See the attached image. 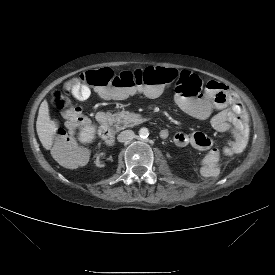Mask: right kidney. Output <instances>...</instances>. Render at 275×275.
I'll use <instances>...</instances> for the list:
<instances>
[{
  "label": "right kidney",
  "instance_id": "obj_1",
  "mask_svg": "<svg viewBox=\"0 0 275 275\" xmlns=\"http://www.w3.org/2000/svg\"><path fill=\"white\" fill-rule=\"evenodd\" d=\"M94 163L101 170L106 169L108 166L107 158H106L105 154L101 153V152L96 154Z\"/></svg>",
  "mask_w": 275,
  "mask_h": 275
}]
</instances>
